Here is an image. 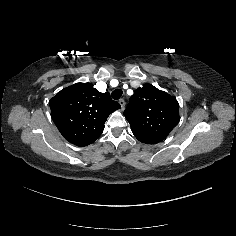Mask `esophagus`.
Masks as SVG:
<instances>
[{"label":"esophagus","instance_id":"esophagus-1","mask_svg":"<svg viewBox=\"0 0 236 236\" xmlns=\"http://www.w3.org/2000/svg\"><path fill=\"white\" fill-rule=\"evenodd\" d=\"M119 104L121 105V110L123 111L124 110V107H125V101H124V99H120L119 100Z\"/></svg>","mask_w":236,"mask_h":236}]
</instances>
